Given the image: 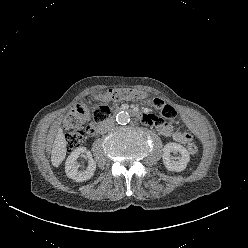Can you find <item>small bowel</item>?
<instances>
[{"mask_svg": "<svg viewBox=\"0 0 248 248\" xmlns=\"http://www.w3.org/2000/svg\"><path fill=\"white\" fill-rule=\"evenodd\" d=\"M148 103L150 107L155 108L159 116L145 114L142 117L143 124H152L153 128L157 129L160 134L172 137L178 143L187 144L192 141L193 137L190 133L176 131L172 125L164 123V120L171 121L179 118V111L173 107L172 103L154 97L150 98ZM182 118L192 133L198 139H202V132L196 121L187 114L182 115Z\"/></svg>", "mask_w": 248, "mask_h": 248, "instance_id": "obj_1", "label": "small bowel"}]
</instances>
